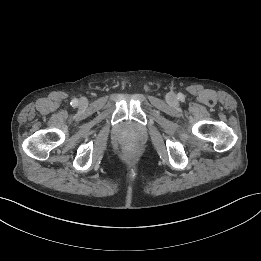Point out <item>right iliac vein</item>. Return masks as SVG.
I'll return each mask as SVG.
<instances>
[{"instance_id": "right-iliac-vein-1", "label": "right iliac vein", "mask_w": 261, "mask_h": 261, "mask_svg": "<svg viewBox=\"0 0 261 261\" xmlns=\"http://www.w3.org/2000/svg\"><path fill=\"white\" fill-rule=\"evenodd\" d=\"M80 102L82 105H84L86 103L85 99H82Z\"/></svg>"}]
</instances>
